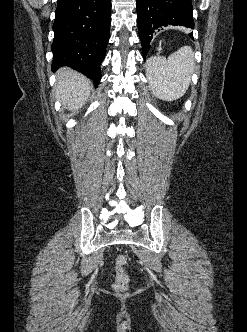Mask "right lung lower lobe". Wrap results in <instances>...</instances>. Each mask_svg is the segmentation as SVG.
<instances>
[{
  "instance_id": "obj_1",
  "label": "right lung lower lobe",
  "mask_w": 247,
  "mask_h": 332,
  "mask_svg": "<svg viewBox=\"0 0 247 332\" xmlns=\"http://www.w3.org/2000/svg\"><path fill=\"white\" fill-rule=\"evenodd\" d=\"M111 23V0H58L53 24V70L69 66L101 80Z\"/></svg>"
}]
</instances>
